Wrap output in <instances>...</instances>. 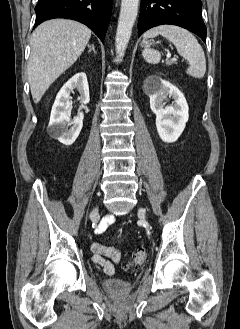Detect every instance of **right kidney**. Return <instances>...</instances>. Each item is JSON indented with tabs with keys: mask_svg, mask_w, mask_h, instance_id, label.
I'll use <instances>...</instances> for the list:
<instances>
[{
	"mask_svg": "<svg viewBox=\"0 0 240 329\" xmlns=\"http://www.w3.org/2000/svg\"><path fill=\"white\" fill-rule=\"evenodd\" d=\"M77 89L80 93L78 100L81 104H87L90 101L89 86L86 74L83 72L75 74L68 80L58 92L54 105L51 110L48 132L60 143L72 145L83 127L84 114L80 112L77 117L71 121L68 115L70 107V93ZM68 126H71L68 129Z\"/></svg>",
	"mask_w": 240,
	"mask_h": 329,
	"instance_id": "right-kidney-1",
	"label": "right kidney"
}]
</instances>
